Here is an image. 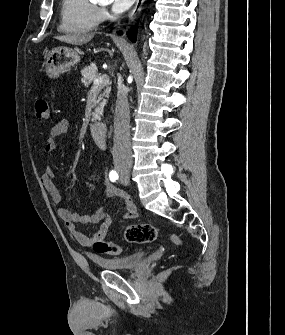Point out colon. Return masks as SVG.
Instances as JSON below:
<instances>
[{
	"label": "colon",
	"instance_id": "obj_1",
	"mask_svg": "<svg viewBox=\"0 0 285 335\" xmlns=\"http://www.w3.org/2000/svg\"><path fill=\"white\" fill-rule=\"evenodd\" d=\"M35 114L38 119L47 121L50 118V105L45 96H41L35 103ZM124 238L129 243H152L158 238L157 229L151 224H131L124 230ZM171 240L182 245V239L177 235H172ZM97 253H108L111 255H119L122 248L114 243L108 242L105 238H99L92 245Z\"/></svg>",
	"mask_w": 285,
	"mask_h": 335
}]
</instances>
